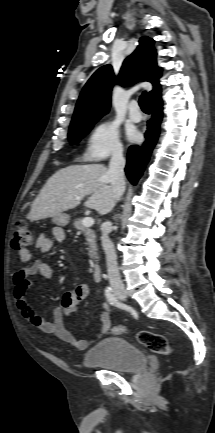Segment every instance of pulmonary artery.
Instances as JSON below:
<instances>
[{
    "label": "pulmonary artery",
    "mask_w": 215,
    "mask_h": 433,
    "mask_svg": "<svg viewBox=\"0 0 215 433\" xmlns=\"http://www.w3.org/2000/svg\"><path fill=\"white\" fill-rule=\"evenodd\" d=\"M129 117L134 122H139L142 119V114L138 109V104L136 101H132L129 104Z\"/></svg>",
    "instance_id": "pulmonary-artery-1"
}]
</instances>
